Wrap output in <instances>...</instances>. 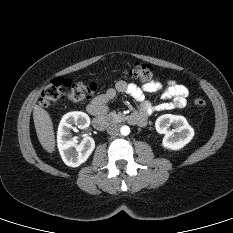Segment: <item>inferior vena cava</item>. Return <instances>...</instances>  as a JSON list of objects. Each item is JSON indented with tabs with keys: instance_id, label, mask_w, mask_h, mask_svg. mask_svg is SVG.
Instances as JSON below:
<instances>
[{
	"instance_id": "1",
	"label": "inferior vena cava",
	"mask_w": 233,
	"mask_h": 233,
	"mask_svg": "<svg viewBox=\"0 0 233 233\" xmlns=\"http://www.w3.org/2000/svg\"><path fill=\"white\" fill-rule=\"evenodd\" d=\"M119 125L117 124H111L108 128H107V133L109 135H117L119 133Z\"/></svg>"
}]
</instances>
